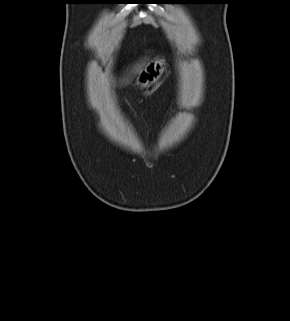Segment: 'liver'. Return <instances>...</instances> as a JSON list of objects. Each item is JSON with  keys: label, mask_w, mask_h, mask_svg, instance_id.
<instances>
[{"label": "liver", "mask_w": 290, "mask_h": 321, "mask_svg": "<svg viewBox=\"0 0 290 321\" xmlns=\"http://www.w3.org/2000/svg\"><path fill=\"white\" fill-rule=\"evenodd\" d=\"M142 65H143V64H142ZM140 70H141V66L138 65V66L136 67L135 73H136V72H139Z\"/></svg>", "instance_id": "1"}]
</instances>
